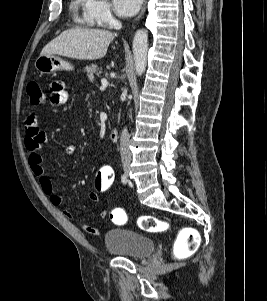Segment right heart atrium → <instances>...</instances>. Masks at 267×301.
Segmentation results:
<instances>
[{"label":"right heart atrium","mask_w":267,"mask_h":301,"mask_svg":"<svg viewBox=\"0 0 267 301\" xmlns=\"http://www.w3.org/2000/svg\"><path fill=\"white\" fill-rule=\"evenodd\" d=\"M87 20L93 25L108 28L114 23L115 18L106 0H88Z\"/></svg>","instance_id":"obj_1"}]
</instances>
